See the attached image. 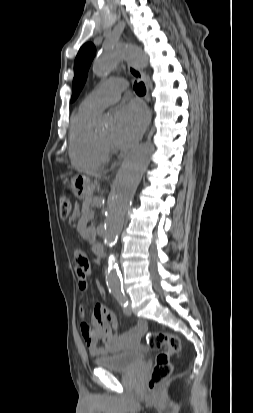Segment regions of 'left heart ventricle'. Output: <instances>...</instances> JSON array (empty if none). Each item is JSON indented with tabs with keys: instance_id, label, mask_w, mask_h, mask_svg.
Returning <instances> with one entry per match:
<instances>
[{
	"instance_id": "left-heart-ventricle-1",
	"label": "left heart ventricle",
	"mask_w": 253,
	"mask_h": 413,
	"mask_svg": "<svg viewBox=\"0 0 253 413\" xmlns=\"http://www.w3.org/2000/svg\"><path fill=\"white\" fill-rule=\"evenodd\" d=\"M101 138H102L103 140L109 141V140L111 139V133H110V132L105 133V134H103V135L101 136Z\"/></svg>"
}]
</instances>
